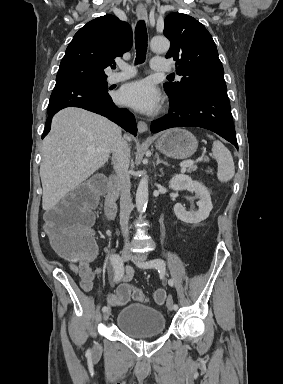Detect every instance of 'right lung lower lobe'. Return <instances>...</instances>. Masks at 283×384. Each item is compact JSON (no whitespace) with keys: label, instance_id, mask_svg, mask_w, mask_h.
Returning <instances> with one entry per match:
<instances>
[{"label":"right lung lower lobe","instance_id":"1","mask_svg":"<svg viewBox=\"0 0 283 384\" xmlns=\"http://www.w3.org/2000/svg\"><path fill=\"white\" fill-rule=\"evenodd\" d=\"M69 106L80 107V108L92 111L94 113L100 114L102 116H105L111 121L121 126L122 128H124L126 131L132 133L133 135L137 134V126H136V121L133 114L125 108H118L117 106H115L111 97L105 98V99L84 101V102L72 104ZM69 106H65V107H69ZM65 107L48 108L49 117L46 121L42 138H44L50 131L51 120L54 114L57 113L60 109Z\"/></svg>","mask_w":283,"mask_h":384}]
</instances>
